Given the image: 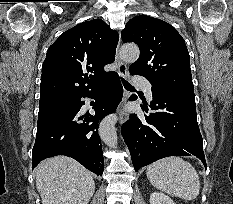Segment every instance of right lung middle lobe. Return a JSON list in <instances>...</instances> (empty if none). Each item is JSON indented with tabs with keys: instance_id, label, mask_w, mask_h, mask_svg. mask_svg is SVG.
Wrapping results in <instances>:
<instances>
[{
	"instance_id": "right-lung-middle-lobe-1",
	"label": "right lung middle lobe",
	"mask_w": 233,
	"mask_h": 204,
	"mask_svg": "<svg viewBox=\"0 0 233 204\" xmlns=\"http://www.w3.org/2000/svg\"><path fill=\"white\" fill-rule=\"evenodd\" d=\"M73 98L59 99L49 102L40 103L38 113V124L43 123L62 111L68 109Z\"/></svg>"
}]
</instances>
